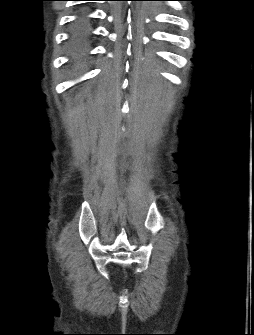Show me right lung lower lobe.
Here are the masks:
<instances>
[{
  "mask_svg": "<svg viewBox=\"0 0 254 335\" xmlns=\"http://www.w3.org/2000/svg\"><path fill=\"white\" fill-rule=\"evenodd\" d=\"M87 14H86V11H83L80 15H79V18L75 21V22H78V21H80V20H84L85 21V23L89 26V19L87 18V16H86ZM89 32V31H88Z\"/></svg>",
  "mask_w": 254,
  "mask_h": 335,
  "instance_id": "obj_1",
  "label": "right lung lower lobe"
}]
</instances>
